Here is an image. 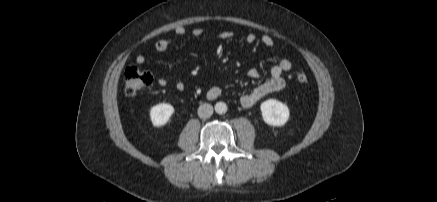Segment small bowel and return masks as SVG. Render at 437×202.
I'll list each match as a JSON object with an SVG mask.
<instances>
[{
  "label": "small bowel",
  "instance_id": "small-bowel-1",
  "mask_svg": "<svg viewBox=\"0 0 437 202\" xmlns=\"http://www.w3.org/2000/svg\"><path fill=\"white\" fill-rule=\"evenodd\" d=\"M185 33H186V30L184 27L177 26L173 29V37L159 39L153 43L152 47L157 52H163L170 47V45L173 43L175 38L182 37L185 35ZM192 34L194 37L199 38V37L203 36L204 30L201 28H195L193 30ZM234 36H235V33L233 31H222L216 35V37L218 39H222V40L231 39ZM245 40L247 43L252 44L257 40V37L255 34L249 33L246 35ZM260 41L269 50H271V51L274 50L275 43H274V40L271 36L263 35L260 38ZM135 60H136L137 64H143L146 61V57L144 55L140 54L136 57ZM291 67H292V64L288 59L279 60V62L272 67V69L270 71V76L266 81H264L263 83H261L260 85L255 87L252 91L244 94L241 97L240 102H241L242 106L245 108L252 107L253 105H255L258 101H260L266 95H268L272 92L282 90L286 84L285 80L283 78V74L285 72L289 71L291 69ZM248 76L252 79H257L260 76V72L257 69L253 68V69H250L248 71ZM158 83L162 87H166L169 84V82L165 78H160L158 80ZM174 87L178 91H182L184 89V85L181 82H176L174 84ZM219 93H220V89L218 87H212L209 90L208 95L211 98H215L219 95Z\"/></svg>",
  "mask_w": 437,
  "mask_h": 202
}]
</instances>
